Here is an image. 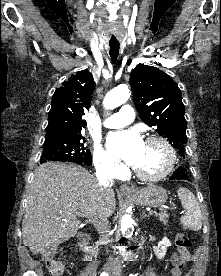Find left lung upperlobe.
Wrapping results in <instances>:
<instances>
[{"mask_svg": "<svg viewBox=\"0 0 221 276\" xmlns=\"http://www.w3.org/2000/svg\"><path fill=\"white\" fill-rule=\"evenodd\" d=\"M129 83L133 101L144 123L155 127L159 135L184 158L186 143L185 107L178 85L165 72L153 66L137 65Z\"/></svg>", "mask_w": 221, "mask_h": 276, "instance_id": "1", "label": "left lung upper lobe"}]
</instances>
